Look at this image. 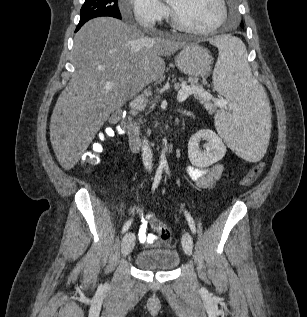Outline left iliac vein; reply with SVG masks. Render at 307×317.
I'll return each instance as SVG.
<instances>
[{
    "mask_svg": "<svg viewBox=\"0 0 307 317\" xmlns=\"http://www.w3.org/2000/svg\"><path fill=\"white\" fill-rule=\"evenodd\" d=\"M182 246L186 254L191 255L193 251V239L189 233H185L182 237Z\"/></svg>",
    "mask_w": 307,
    "mask_h": 317,
    "instance_id": "1",
    "label": "left iliac vein"
}]
</instances>
